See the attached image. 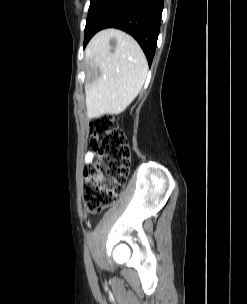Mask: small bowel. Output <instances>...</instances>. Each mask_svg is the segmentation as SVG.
Wrapping results in <instances>:
<instances>
[{"instance_id": "1", "label": "small bowel", "mask_w": 247, "mask_h": 304, "mask_svg": "<svg viewBox=\"0 0 247 304\" xmlns=\"http://www.w3.org/2000/svg\"><path fill=\"white\" fill-rule=\"evenodd\" d=\"M97 153L95 151H89L85 155V163L90 164L93 159L96 157Z\"/></svg>"}]
</instances>
